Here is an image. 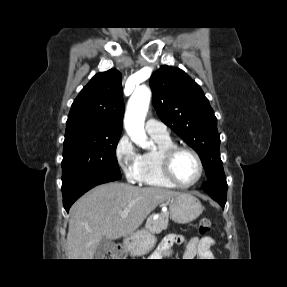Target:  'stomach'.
Here are the masks:
<instances>
[{"label": "stomach", "mask_w": 287, "mask_h": 287, "mask_svg": "<svg viewBox=\"0 0 287 287\" xmlns=\"http://www.w3.org/2000/svg\"><path fill=\"white\" fill-rule=\"evenodd\" d=\"M202 211L201 202L191 194L182 193L170 199L169 213L171 218L177 223H190L198 218ZM155 244V236L147 230L133 233L124 240L125 248L133 256L147 254Z\"/></svg>", "instance_id": "obj_1"}]
</instances>
